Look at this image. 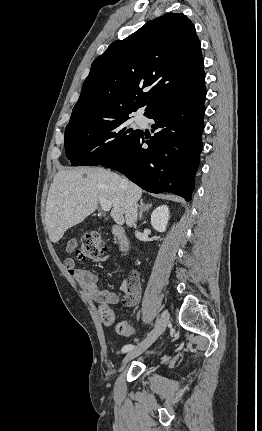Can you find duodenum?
Returning <instances> with one entry per match:
<instances>
[{
	"label": "duodenum",
	"instance_id": "410a0bca",
	"mask_svg": "<svg viewBox=\"0 0 262 431\" xmlns=\"http://www.w3.org/2000/svg\"><path fill=\"white\" fill-rule=\"evenodd\" d=\"M112 234L116 238L119 248L123 252H127L129 250V245L126 237L125 230L122 225L116 224L112 226Z\"/></svg>",
	"mask_w": 262,
	"mask_h": 431
}]
</instances>
